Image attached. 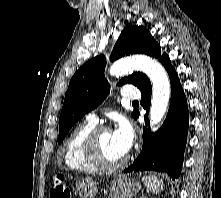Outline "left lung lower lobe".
I'll use <instances>...</instances> for the list:
<instances>
[{
	"mask_svg": "<svg viewBox=\"0 0 221 198\" xmlns=\"http://www.w3.org/2000/svg\"><path fill=\"white\" fill-rule=\"evenodd\" d=\"M161 63L167 70L171 82V103L166 120L156 133H151L147 115L144 116L147 126L144 127L142 150L134 163L124 172L153 170L167 173L175 179L181 174L189 116L185 94L169 57L166 56ZM140 91L141 105L148 111L152 93L150 81L144 84ZM138 116L139 113L135 119Z\"/></svg>",
	"mask_w": 221,
	"mask_h": 198,
	"instance_id": "0a47b994",
	"label": "left lung lower lobe"
}]
</instances>
